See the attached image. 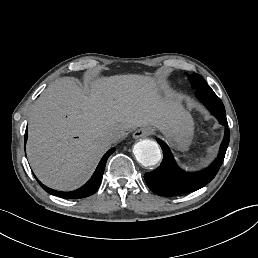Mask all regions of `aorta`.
Masks as SVG:
<instances>
[{
    "mask_svg": "<svg viewBox=\"0 0 258 258\" xmlns=\"http://www.w3.org/2000/svg\"><path fill=\"white\" fill-rule=\"evenodd\" d=\"M136 160L144 167L154 166L161 159V151L155 141L145 139L133 147Z\"/></svg>",
    "mask_w": 258,
    "mask_h": 258,
    "instance_id": "obj_1",
    "label": "aorta"
}]
</instances>
